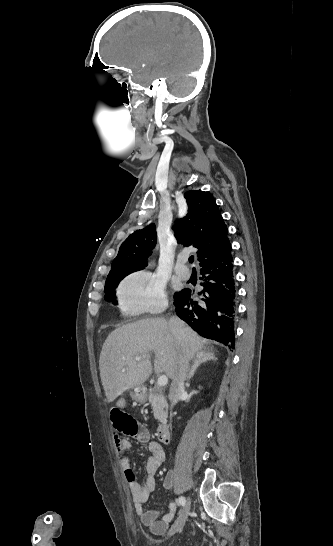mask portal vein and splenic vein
I'll list each match as a JSON object with an SVG mask.
<instances>
[{"label":"portal vein and splenic vein","mask_w":333,"mask_h":546,"mask_svg":"<svg viewBox=\"0 0 333 546\" xmlns=\"http://www.w3.org/2000/svg\"><path fill=\"white\" fill-rule=\"evenodd\" d=\"M141 359H142V358L139 357V356H138V357H135V360H136V361H140ZM123 371H124V369H123ZM167 383H168V378H167L166 375H160V376L158 377V380H157L158 386H165Z\"/></svg>","instance_id":"obj_1"}]
</instances>
